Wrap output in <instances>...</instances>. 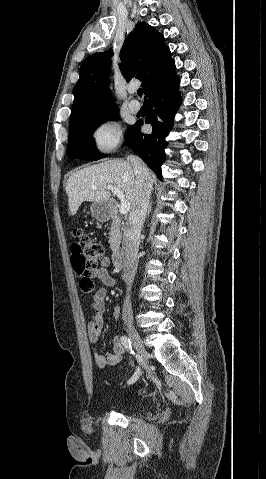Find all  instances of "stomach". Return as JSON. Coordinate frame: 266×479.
Returning <instances> with one entry per match:
<instances>
[{"instance_id":"0dacf381","label":"stomach","mask_w":266,"mask_h":479,"mask_svg":"<svg viewBox=\"0 0 266 479\" xmlns=\"http://www.w3.org/2000/svg\"><path fill=\"white\" fill-rule=\"evenodd\" d=\"M90 210L93 217L103 222L110 218L111 204L109 202H94Z\"/></svg>"}]
</instances>
